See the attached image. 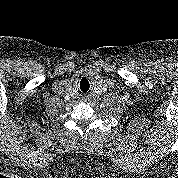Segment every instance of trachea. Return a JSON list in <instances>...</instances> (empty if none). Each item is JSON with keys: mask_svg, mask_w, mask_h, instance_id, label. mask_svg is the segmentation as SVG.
I'll use <instances>...</instances> for the list:
<instances>
[{"mask_svg": "<svg viewBox=\"0 0 178 178\" xmlns=\"http://www.w3.org/2000/svg\"><path fill=\"white\" fill-rule=\"evenodd\" d=\"M78 88L79 91L82 93H86L90 90V82L87 78L83 77L81 80L78 82Z\"/></svg>", "mask_w": 178, "mask_h": 178, "instance_id": "trachea-1", "label": "trachea"}]
</instances>
